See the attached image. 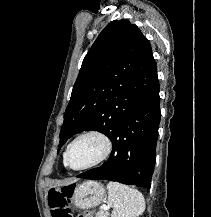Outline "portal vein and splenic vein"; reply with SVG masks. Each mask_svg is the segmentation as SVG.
<instances>
[{
	"label": "portal vein and splenic vein",
	"mask_w": 211,
	"mask_h": 217,
	"mask_svg": "<svg viewBox=\"0 0 211 217\" xmlns=\"http://www.w3.org/2000/svg\"><path fill=\"white\" fill-rule=\"evenodd\" d=\"M109 208V206H107V205H102L101 206V209H103V210H107Z\"/></svg>",
	"instance_id": "1"
}]
</instances>
